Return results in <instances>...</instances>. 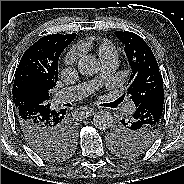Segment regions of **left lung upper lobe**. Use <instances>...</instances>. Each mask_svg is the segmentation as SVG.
I'll return each instance as SVG.
<instances>
[{
	"label": "left lung upper lobe",
	"mask_w": 184,
	"mask_h": 184,
	"mask_svg": "<svg viewBox=\"0 0 184 184\" xmlns=\"http://www.w3.org/2000/svg\"><path fill=\"white\" fill-rule=\"evenodd\" d=\"M124 43V51L132 69L127 94L138 107L157 96H164L163 79L156 58L146 42L132 32H115ZM162 116L154 122L134 125L130 120H120L109 131L112 150L120 157H134L150 148L156 139Z\"/></svg>",
	"instance_id": "5c2ea615"
}]
</instances>
